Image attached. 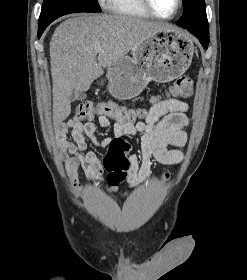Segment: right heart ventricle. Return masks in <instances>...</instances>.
<instances>
[{
    "mask_svg": "<svg viewBox=\"0 0 247 280\" xmlns=\"http://www.w3.org/2000/svg\"><path fill=\"white\" fill-rule=\"evenodd\" d=\"M110 12L116 15L149 18V13L143 7L141 0H106Z\"/></svg>",
    "mask_w": 247,
    "mask_h": 280,
    "instance_id": "e07e8e85",
    "label": "right heart ventricle"
}]
</instances>
